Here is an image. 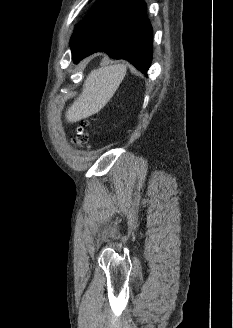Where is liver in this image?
<instances>
[{"mask_svg":"<svg viewBox=\"0 0 233 328\" xmlns=\"http://www.w3.org/2000/svg\"><path fill=\"white\" fill-rule=\"evenodd\" d=\"M123 64L109 65L91 71L82 93L66 111L67 122H78L98 113L112 98L126 75Z\"/></svg>","mask_w":233,"mask_h":328,"instance_id":"liver-1","label":"liver"}]
</instances>
